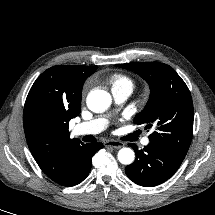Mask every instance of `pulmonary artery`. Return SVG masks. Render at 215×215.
I'll return each instance as SVG.
<instances>
[{
	"mask_svg": "<svg viewBox=\"0 0 215 215\" xmlns=\"http://www.w3.org/2000/svg\"><path fill=\"white\" fill-rule=\"evenodd\" d=\"M132 90L129 88L115 89L112 90L113 98L116 103L121 104L125 102L131 95ZM107 126V120L104 118H97L90 121L82 122L77 124L73 129L74 135H94L103 131ZM143 145L149 144V138L145 137L142 140Z\"/></svg>",
	"mask_w": 215,
	"mask_h": 215,
	"instance_id": "pulmonary-artery-1",
	"label": "pulmonary artery"
}]
</instances>
